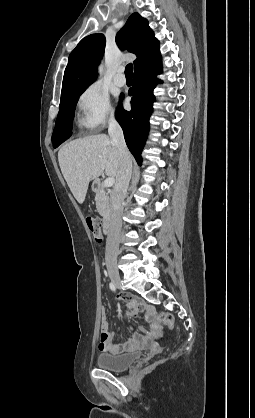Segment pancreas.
Instances as JSON below:
<instances>
[{
    "instance_id": "cf45deb5",
    "label": "pancreas",
    "mask_w": 255,
    "mask_h": 418,
    "mask_svg": "<svg viewBox=\"0 0 255 418\" xmlns=\"http://www.w3.org/2000/svg\"><path fill=\"white\" fill-rule=\"evenodd\" d=\"M95 201L99 214L105 218L109 213L110 204L108 193L103 186L97 191Z\"/></svg>"
}]
</instances>
